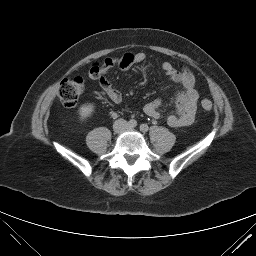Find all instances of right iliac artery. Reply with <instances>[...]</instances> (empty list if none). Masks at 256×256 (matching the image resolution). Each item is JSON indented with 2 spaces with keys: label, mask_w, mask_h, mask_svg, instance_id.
I'll list each match as a JSON object with an SVG mask.
<instances>
[{
  "label": "right iliac artery",
  "mask_w": 256,
  "mask_h": 256,
  "mask_svg": "<svg viewBox=\"0 0 256 256\" xmlns=\"http://www.w3.org/2000/svg\"><path fill=\"white\" fill-rule=\"evenodd\" d=\"M128 126L133 127V128L136 127L137 126V121L134 120V119L129 120L128 121Z\"/></svg>",
  "instance_id": "1"
}]
</instances>
